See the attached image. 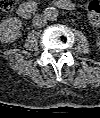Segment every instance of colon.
Segmentation results:
<instances>
[{
	"label": "colon",
	"mask_w": 100,
	"mask_h": 118,
	"mask_svg": "<svg viewBox=\"0 0 100 118\" xmlns=\"http://www.w3.org/2000/svg\"><path fill=\"white\" fill-rule=\"evenodd\" d=\"M14 0H1L3 11H9L13 6ZM92 23L97 24L100 20V5L96 1L89 2L86 5Z\"/></svg>",
	"instance_id": "5ec220e1"
}]
</instances>
